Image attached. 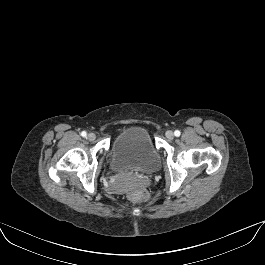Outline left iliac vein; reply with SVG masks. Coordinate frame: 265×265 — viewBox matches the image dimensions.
<instances>
[{
    "label": "left iliac vein",
    "instance_id": "left-iliac-vein-1",
    "mask_svg": "<svg viewBox=\"0 0 265 265\" xmlns=\"http://www.w3.org/2000/svg\"><path fill=\"white\" fill-rule=\"evenodd\" d=\"M165 136H166V138L171 140L174 138V133L171 130H168L165 132Z\"/></svg>",
    "mask_w": 265,
    "mask_h": 265
}]
</instances>
